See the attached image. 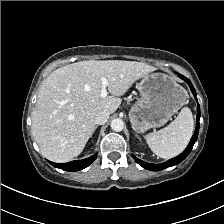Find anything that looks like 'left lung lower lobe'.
<instances>
[{"instance_id":"0a47b994","label":"left lung lower lobe","mask_w":224,"mask_h":224,"mask_svg":"<svg viewBox=\"0 0 224 224\" xmlns=\"http://www.w3.org/2000/svg\"><path fill=\"white\" fill-rule=\"evenodd\" d=\"M178 76L181 79H183L190 86V89H191L192 93L194 94L195 99L197 100L196 92H195L194 87H193L192 83L190 82V80L187 79L186 77L182 76L179 73H178ZM199 119H200V107H199V104H198V106H197V117H196V129H195L194 135L192 136L191 141H190L188 147L179 156H177V157H175V158H173V159H171V160H169V161H167L165 163H162V164H150V163H146V162L136 158L133 155H132V157L143 168L148 169V170H152V171H160V170H163L165 168L177 165L178 163L183 161L188 156V154L190 153V151L193 148L194 143L197 140L198 132H199Z\"/></svg>"}]
</instances>
